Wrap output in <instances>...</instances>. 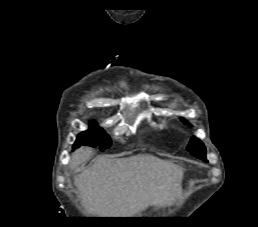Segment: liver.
<instances>
[{"label":"liver","instance_id":"liver-1","mask_svg":"<svg viewBox=\"0 0 258 227\" xmlns=\"http://www.w3.org/2000/svg\"><path fill=\"white\" fill-rule=\"evenodd\" d=\"M93 153L89 147L76 150L72 169ZM182 168L154 156L110 158L100 156L94 164L74 176L87 211L102 217H130L149 206L169 205L181 191Z\"/></svg>","mask_w":258,"mask_h":227}]
</instances>
